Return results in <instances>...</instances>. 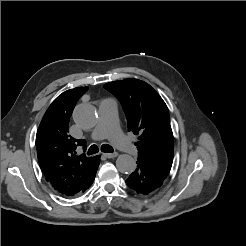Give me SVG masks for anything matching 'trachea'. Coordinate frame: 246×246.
Here are the masks:
<instances>
[{
  "instance_id": "trachea-1",
  "label": "trachea",
  "mask_w": 246,
  "mask_h": 246,
  "mask_svg": "<svg viewBox=\"0 0 246 246\" xmlns=\"http://www.w3.org/2000/svg\"><path fill=\"white\" fill-rule=\"evenodd\" d=\"M101 151H102V152H105V153H112L114 150H113V148H112L110 145H108V144H103V145L101 146ZM98 152H99V148H98L96 145H92V146L88 149L87 154H88V155H92V154H96V153H98Z\"/></svg>"
}]
</instances>
